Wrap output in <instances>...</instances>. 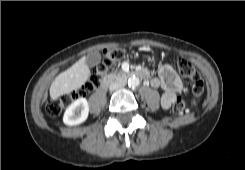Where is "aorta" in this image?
Here are the masks:
<instances>
[{
    "mask_svg": "<svg viewBox=\"0 0 245 170\" xmlns=\"http://www.w3.org/2000/svg\"><path fill=\"white\" fill-rule=\"evenodd\" d=\"M139 84H140V80L135 76L129 78L128 80V85L132 88L139 86Z\"/></svg>",
    "mask_w": 245,
    "mask_h": 170,
    "instance_id": "762f6f07",
    "label": "aorta"
}]
</instances>
